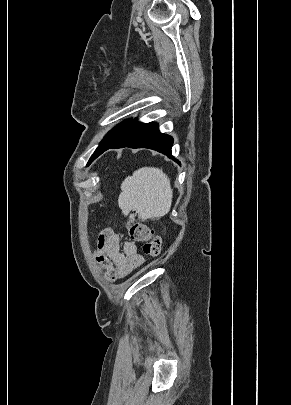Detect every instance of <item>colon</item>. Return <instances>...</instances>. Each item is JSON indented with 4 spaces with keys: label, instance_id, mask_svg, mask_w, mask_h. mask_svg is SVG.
<instances>
[{
    "label": "colon",
    "instance_id": "1",
    "mask_svg": "<svg viewBox=\"0 0 291 405\" xmlns=\"http://www.w3.org/2000/svg\"><path fill=\"white\" fill-rule=\"evenodd\" d=\"M127 231L133 240L143 243V252L146 256L155 258L160 254L162 240L153 228L145 224L128 223Z\"/></svg>",
    "mask_w": 291,
    "mask_h": 405
}]
</instances>
